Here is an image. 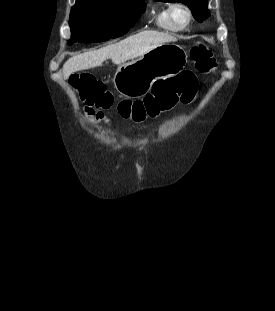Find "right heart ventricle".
<instances>
[{"instance_id": "right-heart-ventricle-1", "label": "right heart ventricle", "mask_w": 275, "mask_h": 311, "mask_svg": "<svg viewBox=\"0 0 275 311\" xmlns=\"http://www.w3.org/2000/svg\"><path fill=\"white\" fill-rule=\"evenodd\" d=\"M168 5H164L159 7L156 12L154 13V24L159 28L160 30L163 31H168V32H177L172 24L170 23L169 16H168V10H169Z\"/></svg>"}]
</instances>
